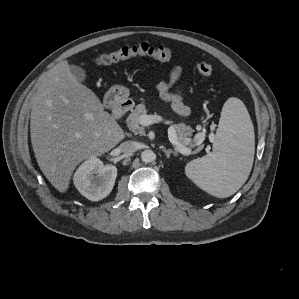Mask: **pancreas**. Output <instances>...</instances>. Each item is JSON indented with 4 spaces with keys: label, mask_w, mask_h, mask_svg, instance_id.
<instances>
[{
    "label": "pancreas",
    "mask_w": 299,
    "mask_h": 299,
    "mask_svg": "<svg viewBox=\"0 0 299 299\" xmlns=\"http://www.w3.org/2000/svg\"><path fill=\"white\" fill-rule=\"evenodd\" d=\"M147 114V109L145 104L141 103L138 104L134 110H132L131 114L127 117V124L129 129L135 133L143 135L145 134L144 128L141 126L139 122V118L142 115ZM176 135H177V141L178 143L183 147H195L201 144L202 138L204 137L203 133H199L195 139H191L192 133L194 130L185 123H178L173 125ZM202 147V145H200Z\"/></svg>",
    "instance_id": "cf45deb5"
}]
</instances>
